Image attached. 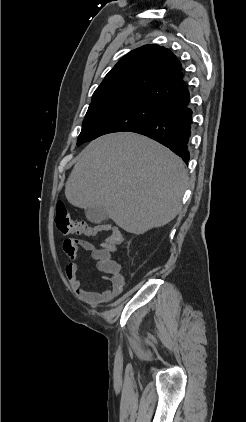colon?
<instances>
[{"label": "colon", "instance_id": "5ec220e1", "mask_svg": "<svg viewBox=\"0 0 246 422\" xmlns=\"http://www.w3.org/2000/svg\"><path fill=\"white\" fill-rule=\"evenodd\" d=\"M55 223L58 230L63 234H78L93 237L101 232L109 231L110 236L101 249L109 253L124 240L122 231L117 227L110 225L92 226L86 222L72 219L63 203H58L56 206ZM105 268L112 269L113 262H107Z\"/></svg>", "mask_w": 246, "mask_h": 422}]
</instances>
